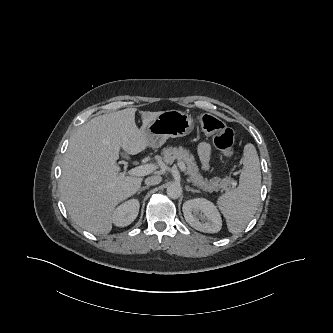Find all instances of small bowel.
Listing matches in <instances>:
<instances>
[{
    "mask_svg": "<svg viewBox=\"0 0 333 333\" xmlns=\"http://www.w3.org/2000/svg\"><path fill=\"white\" fill-rule=\"evenodd\" d=\"M198 154L204 170L209 167L210 145L207 142H201L198 146Z\"/></svg>",
    "mask_w": 333,
    "mask_h": 333,
    "instance_id": "obj_1",
    "label": "small bowel"
}]
</instances>
